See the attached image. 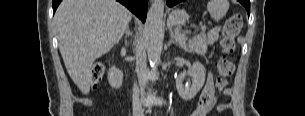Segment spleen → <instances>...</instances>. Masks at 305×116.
<instances>
[{"label":"spleen","instance_id":"3e777b00","mask_svg":"<svg viewBox=\"0 0 305 116\" xmlns=\"http://www.w3.org/2000/svg\"><path fill=\"white\" fill-rule=\"evenodd\" d=\"M228 7V3L224 0H210L207 5L210 16L214 21L222 19L228 10Z\"/></svg>","mask_w":305,"mask_h":116}]
</instances>
